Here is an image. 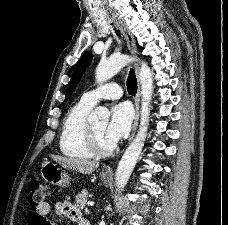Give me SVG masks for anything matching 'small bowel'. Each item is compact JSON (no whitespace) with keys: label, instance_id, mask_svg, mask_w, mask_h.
<instances>
[{"label":"small bowel","instance_id":"small-bowel-1","mask_svg":"<svg viewBox=\"0 0 228 225\" xmlns=\"http://www.w3.org/2000/svg\"><path fill=\"white\" fill-rule=\"evenodd\" d=\"M55 212L58 215L67 217L76 221L79 225L81 214L78 209L69 201H59L54 205ZM51 211V205L48 202H43L38 205L34 212L28 215V225H58L55 222H47V216Z\"/></svg>","mask_w":228,"mask_h":225}]
</instances>
